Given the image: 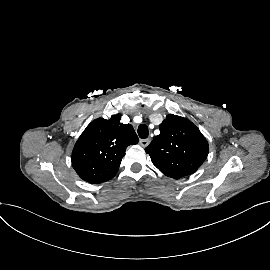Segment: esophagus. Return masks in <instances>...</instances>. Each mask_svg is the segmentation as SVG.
Instances as JSON below:
<instances>
[{
	"label": "esophagus",
	"mask_w": 270,
	"mask_h": 270,
	"mask_svg": "<svg viewBox=\"0 0 270 270\" xmlns=\"http://www.w3.org/2000/svg\"><path fill=\"white\" fill-rule=\"evenodd\" d=\"M150 143V139H141L139 141V144L142 146V147H147Z\"/></svg>",
	"instance_id": "obj_1"
}]
</instances>
